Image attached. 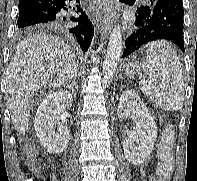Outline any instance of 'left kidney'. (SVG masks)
<instances>
[{
	"label": "left kidney",
	"mask_w": 197,
	"mask_h": 181,
	"mask_svg": "<svg viewBox=\"0 0 197 181\" xmlns=\"http://www.w3.org/2000/svg\"><path fill=\"white\" fill-rule=\"evenodd\" d=\"M117 114L119 118L134 117L136 134L125 139L123 149L126 159L133 165H141L150 156L157 138V126L146 105L132 90L122 93Z\"/></svg>",
	"instance_id": "obj_1"
}]
</instances>
